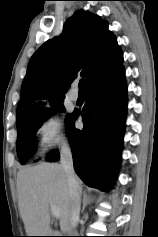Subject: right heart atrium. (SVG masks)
I'll return each instance as SVG.
<instances>
[{
	"instance_id": "right-heart-atrium-1",
	"label": "right heart atrium",
	"mask_w": 158,
	"mask_h": 237,
	"mask_svg": "<svg viewBox=\"0 0 158 237\" xmlns=\"http://www.w3.org/2000/svg\"><path fill=\"white\" fill-rule=\"evenodd\" d=\"M40 150L43 154H51L68 142L64 123L57 112L47 113L37 129Z\"/></svg>"
}]
</instances>
